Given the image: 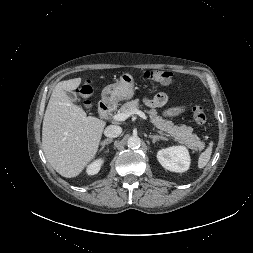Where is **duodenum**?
Instances as JSON below:
<instances>
[{
	"mask_svg": "<svg viewBox=\"0 0 253 253\" xmlns=\"http://www.w3.org/2000/svg\"><path fill=\"white\" fill-rule=\"evenodd\" d=\"M113 106L110 101L104 100L99 105V113L102 117H107L112 112Z\"/></svg>",
	"mask_w": 253,
	"mask_h": 253,
	"instance_id": "obj_1",
	"label": "duodenum"
}]
</instances>
